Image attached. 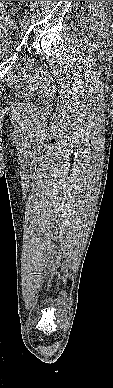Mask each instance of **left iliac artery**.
I'll return each mask as SVG.
<instances>
[{"mask_svg": "<svg viewBox=\"0 0 113 388\" xmlns=\"http://www.w3.org/2000/svg\"><path fill=\"white\" fill-rule=\"evenodd\" d=\"M24 18H27V19H29V20H30V17H29L28 15H26Z\"/></svg>", "mask_w": 113, "mask_h": 388, "instance_id": "1", "label": "left iliac artery"}]
</instances>
